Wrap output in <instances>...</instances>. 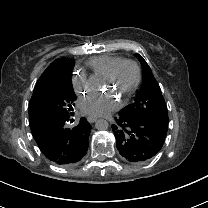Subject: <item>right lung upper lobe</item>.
<instances>
[{
	"mask_svg": "<svg viewBox=\"0 0 208 208\" xmlns=\"http://www.w3.org/2000/svg\"><path fill=\"white\" fill-rule=\"evenodd\" d=\"M67 58H59V59H56L55 61H53L49 66L48 68L43 72V74L41 75V77L39 78V80L37 81V84L35 86L38 87V85L44 81V79L46 78L47 74L55 67L57 66L58 64L62 63L63 61H65ZM35 90V89H34ZM34 93V92H33ZM33 96V95H32Z\"/></svg>",
	"mask_w": 208,
	"mask_h": 208,
	"instance_id": "1",
	"label": "right lung upper lobe"
}]
</instances>
